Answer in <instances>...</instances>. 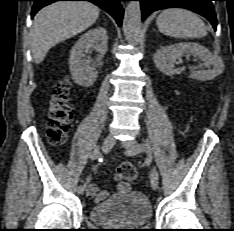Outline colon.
Returning <instances> with one entry per match:
<instances>
[{
    "label": "colon",
    "mask_w": 234,
    "mask_h": 231,
    "mask_svg": "<svg viewBox=\"0 0 234 231\" xmlns=\"http://www.w3.org/2000/svg\"><path fill=\"white\" fill-rule=\"evenodd\" d=\"M70 81H60L51 93L48 113V137L53 144H62L67 137L68 128L72 120V111L68 102ZM114 180L126 178L136 179V170L130 162H123L113 175Z\"/></svg>",
    "instance_id": "obj_1"
}]
</instances>
